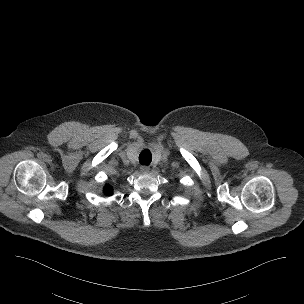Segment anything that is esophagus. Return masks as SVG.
<instances>
[{
	"mask_svg": "<svg viewBox=\"0 0 304 304\" xmlns=\"http://www.w3.org/2000/svg\"><path fill=\"white\" fill-rule=\"evenodd\" d=\"M150 170V168L148 166H141L140 167V171L145 174V173H148Z\"/></svg>",
	"mask_w": 304,
	"mask_h": 304,
	"instance_id": "obj_1",
	"label": "esophagus"
}]
</instances>
